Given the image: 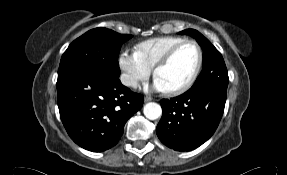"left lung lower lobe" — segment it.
Instances as JSON below:
<instances>
[{"label":"left lung lower lobe","mask_w":287,"mask_h":175,"mask_svg":"<svg viewBox=\"0 0 287 175\" xmlns=\"http://www.w3.org/2000/svg\"><path fill=\"white\" fill-rule=\"evenodd\" d=\"M226 91L203 89L160 101L163 114L156 133L176 151H190L206 142L217 129L224 112Z\"/></svg>","instance_id":"1"}]
</instances>
